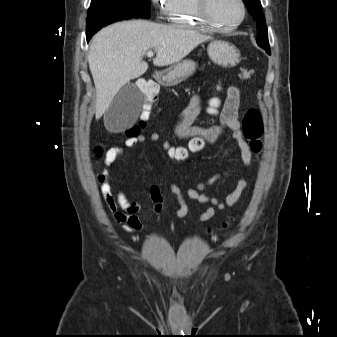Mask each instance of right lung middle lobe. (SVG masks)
<instances>
[{"label": "right lung middle lobe", "instance_id": "dd1d6c3e", "mask_svg": "<svg viewBox=\"0 0 337 337\" xmlns=\"http://www.w3.org/2000/svg\"><path fill=\"white\" fill-rule=\"evenodd\" d=\"M149 9L150 0H91L86 20L89 24L109 16L149 18Z\"/></svg>", "mask_w": 337, "mask_h": 337}]
</instances>
